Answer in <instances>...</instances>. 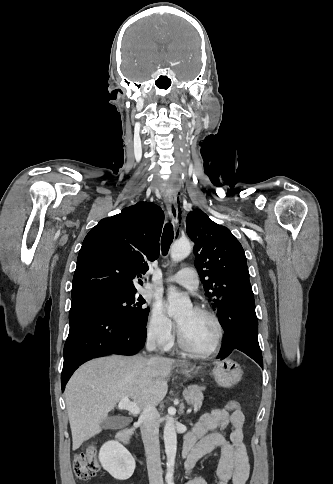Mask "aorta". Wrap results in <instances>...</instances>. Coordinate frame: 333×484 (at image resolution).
<instances>
[{"label":"aorta","mask_w":333,"mask_h":484,"mask_svg":"<svg viewBox=\"0 0 333 484\" xmlns=\"http://www.w3.org/2000/svg\"><path fill=\"white\" fill-rule=\"evenodd\" d=\"M192 250V246L187 239H178L171 245L170 254L174 262H178L186 258ZM168 307L167 313L170 317L179 316L191 307V301L188 297L180 294L174 286H170L167 292ZM164 445L167 456V473L165 476L167 484H174L173 482V468L175 465L177 452V435L174 426L173 417L167 416L164 426Z\"/></svg>","instance_id":"1"}]
</instances>
